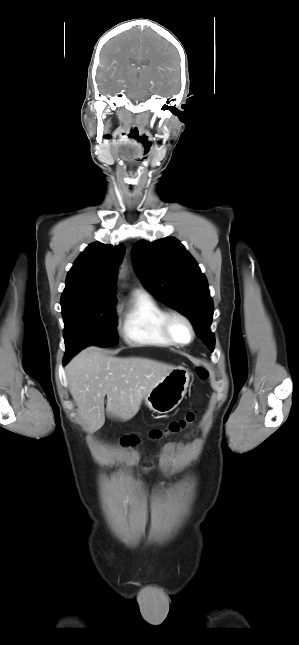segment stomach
<instances>
[{
	"instance_id": "1",
	"label": "stomach",
	"mask_w": 299,
	"mask_h": 645,
	"mask_svg": "<svg viewBox=\"0 0 299 645\" xmlns=\"http://www.w3.org/2000/svg\"><path fill=\"white\" fill-rule=\"evenodd\" d=\"M189 372L177 367L164 376L144 397L145 405L158 414L174 410L187 392Z\"/></svg>"
}]
</instances>
